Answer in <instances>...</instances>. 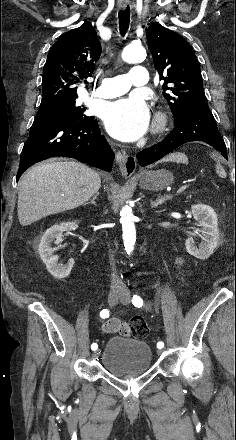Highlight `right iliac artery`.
I'll list each match as a JSON object with an SVG mask.
<instances>
[{"label":"right iliac artery","instance_id":"1","mask_svg":"<svg viewBox=\"0 0 236 440\" xmlns=\"http://www.w3.org/2000/svg\"><path fill=\"white\" fill-rule=\"evenodd\" d=\"M100 317L103 318V319L108 318V317H109V311H108L107 309H103V310L100 312ZM97 348H98V345H97L96 343H93V344L91 345V349H92V350L95 351Z\"/></svg>","mask_w":236,"mask_h":440}]
</instances>
